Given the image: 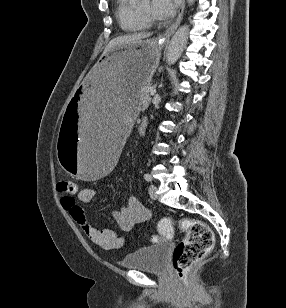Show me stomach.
I'll return each instance as SVG.
<instances>
[{
  "label": "stomach",
  "mask_w": 286,
  "mask_h": 308,
  "mask_svg": "<svg viewBox=\"0 0 286 308\" xmlns=\"http://www.w3.org/2000/svg\"><path fill=\"white\" fill-rule=\"evenodd\" d=\"M162 45L130 40L95 60L60 118L57 156L64 173L81 182H102L106 173H114L127 144L124 132L134 124L137 107H143L140 89L159 64Z\"/></svg>",
  "instance_id": "0dacf381"
}]
</instances>
